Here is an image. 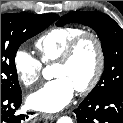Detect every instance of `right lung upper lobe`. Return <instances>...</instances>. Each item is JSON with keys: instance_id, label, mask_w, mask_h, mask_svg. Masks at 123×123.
Returning <instances> with one entry per match:
<instances>
[{"instance_id": "1", "label": "right lung upper lobe", "mask_w": 123, "mask_h": 123, "mask_svg": "<svg viewBox=\"0 0 123 123\" xmlns=\"http://www.w3.org/2000/svg\"><path fill=\"white\" fill-rule=\"evenodd\" d=\"M55 16V20H57L59 18V16L57 14H54Z\"/></svg>"}]
</instances>
